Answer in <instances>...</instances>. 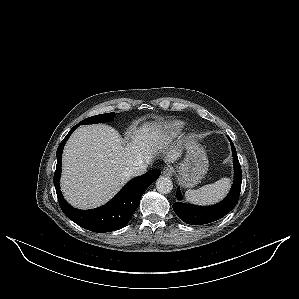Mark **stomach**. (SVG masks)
Listing matches in <instances>:
<instances>
[{"label":"stomach","mask_w":299,"mask_h":299,"mask_svg":"<svg viewBox=\"0 0 299 299\" xmlns=\"http://www.w3.org/2000/svg\"><path fill=\"white\" fill-rule=\"evenodd\" d=\"M209 162L205 150L196 142L190 141L186 145V156L177 166L181 185L191 188L201 182L208 171Z\"/></svg>","instance_id":"stomach-1"}]
</instances>
